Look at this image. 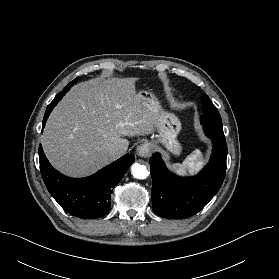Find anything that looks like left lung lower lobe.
Instances as JSON below:
<instances>
[{
	"instance_id": "left-lung-lower-lobe-1",
	"label": "left lung lower lobe",
	"mask_w": 279,
	"mask_h": 279,
	"mask_svg": "<svg viewBox=\"0 0 279 279\" xmlns=\"http://www.w3.org/2000/svg\"><path fill=\"white\" fill-rule=\"evenodd\" d=\"M205 133L213 143L211 159L194 177L183 178L169 172L159 153L150 158L152 209L159 216L169 219L190 217L198 213L220 189L226 173V141L210 132Z\"/></svg>"
}]
</instances>
